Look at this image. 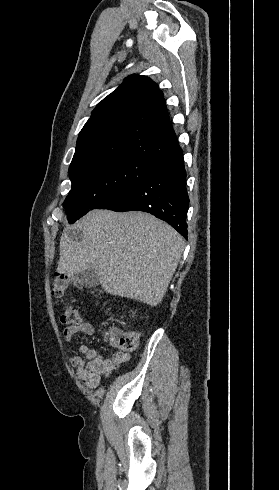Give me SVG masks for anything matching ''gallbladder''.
<instances>
[{
	"mask_svg": "<svg viewBox=\"0 0 279 490\" xmlns=\"http://www.w3.org/2000/svg\"><path fill=\"white\" fill-rule=\"evenodd\" d=\"M77 280L81 286H86V288H96V286H99L100 284V278L97 276L94 268H89V270L80 272Z\"/></svg>",
	"mask_w": 279,
	"mask_h": 490,
	"instance_id": "bac80fb5",
	"label": "gallbladder"
}]
</instances>
